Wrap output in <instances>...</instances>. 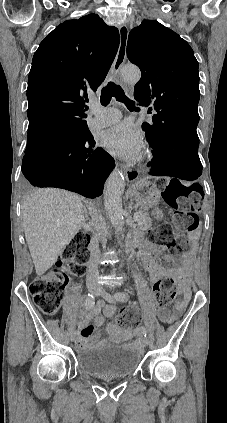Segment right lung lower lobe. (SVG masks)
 Segmentation results:
<instances>
[{"instance_id": "obj_1", "label": "right lung lower lobe", "mask_w": 227, "mask_h": 423, "mask_svg": "<svg viewBox=\"0 0 227 423\" xmlns=\"http://www.w3.org/2000/svg\"><path fill=\"white\" fill-rule=\"evenodd\" d=\"M114 166L113 158L95 147L88 130L25 153L22 173L33 186L62 188L95 198L102 194Z\"/></svg>"}]
</instances>
